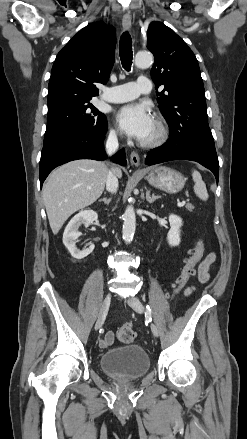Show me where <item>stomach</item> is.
Masks as SVG:
<instances>
[{
  "label": "stomach",
  "instance_id": "0dacf381",
  "mask_svg": "<svg viewBox=\"0 0 247 439\" xmlns=\"http://www.w3.org/2000/svg\"><path fill=\"white\" fill-rule=\"evenodd\" d=\"M146 179L153 187L172 194L181 191L186 182L181 173L164 166L147 170Z\"/></svg>",
  "mask_w": 247,
  "mask_h": 439
}]
</instances>
